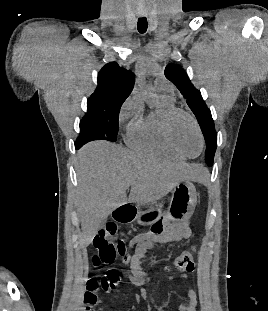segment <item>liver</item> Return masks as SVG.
<instances>
[{
  "mask_svg": "<svg viewBox=\"0 0 268 311\" xmlns=\"http://www.w3.org/2000/svg\"><path fill=\"white\" fill-rule=\"evenodd\" d=\"M81 223L80 245L88 246L109 214L126 203H148L166 196L180 181L197 180L200 165L147 157L106 141L84 145L76 156ZM131 186L129 197L126 191Z\"/></svg>",
  "mask_w": 268,
  "mask_h": 311,
  "instance_id": "obj_1",
  "label": "liver"
}]
</instances>
